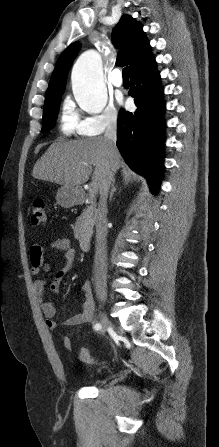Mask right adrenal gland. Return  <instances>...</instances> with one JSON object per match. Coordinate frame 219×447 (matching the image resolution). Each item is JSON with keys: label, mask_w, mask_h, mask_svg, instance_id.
Wrapping results in <instances>:
<instances>
[{"label": "right adrenal gland", "mask_w": 219, "mask_h": 447, "mask_svg": "<svg viewBox=\"0 0 219 447\" xmlns=\"http://www.w3.org/2000/svg\"><path fill=\"white\" fill-rule=\"evenodd\" d=\"M116 191V187H115V179L112 181V185H111V191H110V197L109 200H112L113 194Z\"/></svg>", "instance_id": "right-adrenal-gland-1"}]
</instances>
